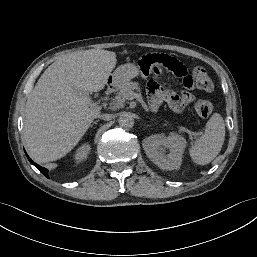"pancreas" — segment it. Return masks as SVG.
I'll use <instances>...</instances> for the list:
<instances>
[{
    "mask_svg": "<svg viewBox=\"0 0 257 257\" xmlns=\"http://www.w3.org/2000/svg\"><path fill=\"white\" fill-rule=\"evenodd\" d=\"M139 85L137 82H128L121 86L120 91L112 99V109L121 108L124 106L126 100L129 99V95L133 93L134 90H138Z\"/></svg>",
    "mask_w": 257,
    "mask_h": 257,
    "instance_id": "cf45deb5",
    "label": "pancreas"
}]
</instances>
